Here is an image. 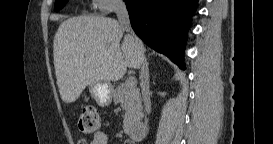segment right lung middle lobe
<instances>
[{
	"instance_id": "dd1d6c3e",
	"label": "right lung middle lobe",
	"mask_w": 273,
	"mask_h": 144,
	"mask_svg": "<svg viewBox=\"0 0 273 144\" xmlns=\"http://www.w3.org/2000/svg\"><path fill=\"white\" fill-rule=\"evenodd\" d=\"M66 2H67V0H56L55 10L58 11L61 8H63Z\"/></svg>"
}]
</instances>
